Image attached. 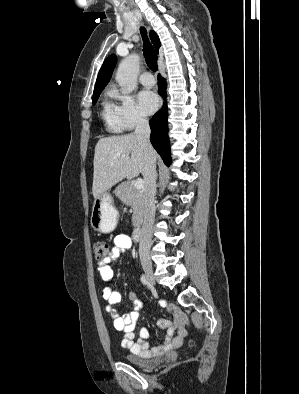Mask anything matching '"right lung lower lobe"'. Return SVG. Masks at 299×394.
Masks as SVG:
<instances>
[{
	"mask_svg": "<svg viewBox=\"0 0 299 394\" xmlns=\"http://www.w3.org/2000/svg\"><path fill=\"white\" fill-rule=\"evenodd\" d=\"M158 92L161 96L166 97V81L159 74L158 75ZM151 128L150 141L156 151L160 154L163 161L170 165V146L168 138V112L167 106L164 104L163 108L157 112L149 122Z\"/></svg>",
	"mask_w": 299,
	"mask_h": 394,
	"instance_id": "right-lung-lower-lobe-1",
	"label": "right lung lower lobe"
}]
</instances>
